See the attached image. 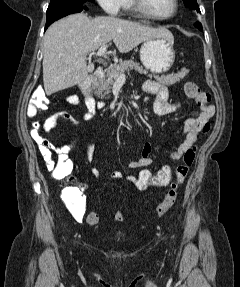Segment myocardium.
Wrapping results in <instances>:
<instances>
[{
    "mask_svg": "<svg viewBox=\"0 0 240 287\" xmlns=\"http://www.w3.org/2000/svg\"><path fill=\"white\" fill-rule=\"evenodd\" d=\"M135 4V8L137 12H139L141 15L145 16L146 18L154 21H168L173 19L178 11H179V1L173 0V10L170 14L166 16H157L154 15L147 7L145 0H133Z\"/></svg>",
    "mask_w": 240,
    "mask_h": 287,
    "instance_id": "f54148a6",
    "label": "myocardium"
}]
</instances>
